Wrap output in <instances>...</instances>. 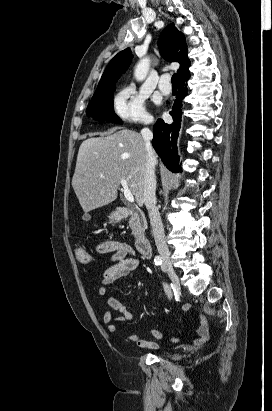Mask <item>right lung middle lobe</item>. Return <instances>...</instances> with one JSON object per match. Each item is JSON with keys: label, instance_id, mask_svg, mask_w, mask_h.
Wrapping results in <instances>:
<instances>
[{"label": "right lung middle lobe", "instance_id": "dd1d6c3e", "mask_svg": "<svg viewBox=\"0 0 272 411\" xmlns=\"http://www.w3.org/2000/svg\"><path fill=\"white\" fill-rule=\"evenodd\" d=\"M115 84L104 88H97L86 110L88 116L99 121L111 120L115 123H121L113 110Z\"/></svg>", "mask_w": 272, "mask_h": 411}]
</instances>
